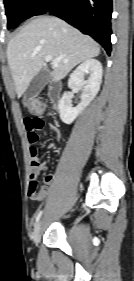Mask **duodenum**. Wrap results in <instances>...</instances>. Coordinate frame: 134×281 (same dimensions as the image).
Here are the masks:
<instances>
[{
	"instance_id": "1",
	"label": "duodenum",
	"mask_w": 134,
	"mask_h": 281,
	"mask_svg": "<svg viewBox=\"0 0 134 281\" xmlns=\"http://www.w3.org/2000/svg\"><path fill=\"white\" fill-rule=\"evenodd\" d=\"M62 85L59 82H54L48 90V98L52 105L57 106L61 98Z\"/></svg>"
}]
</instances>
